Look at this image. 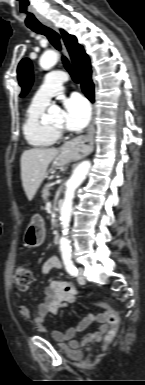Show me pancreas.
<instances>
[{
    "label": "pancreas",
    "instance_id": "obj_1",
    "mask_svg": "<svg viewBox=\"0 0 145 385\" xmlns=\"http://www.w3.org/2000/svg\"><path fill=\"white\" fill-rule=\"evenodd\" d=\"M49 186L46 185L43 190H42V198L45 202L48 201V197L50 196V192H49Z\"/></svg>",
    "mask_w": 145,
    "mask_h": 385
}]
</instances>
